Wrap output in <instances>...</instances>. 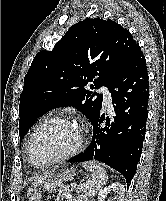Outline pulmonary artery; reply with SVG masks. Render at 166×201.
I'll return each mask as SVG.
<instances>
[{"label": "pulmonary artery", "instance_id": "pulmonary-artery-1", "mask_svg": "<svg viewBox=\"0 0 166 201\" xmlns=\"http://www.w3.org/2000/svg\"><path fill=\"white\" fill-rule=\"evenodd\" d=\"M99 92L103 95L104 105L106 107H108V108H111L112 101H111V94H110V92L105 87L100 88Z\"/></svg>", "mask_w": 166, "mask_h": 201}]
</instances>
